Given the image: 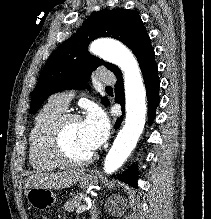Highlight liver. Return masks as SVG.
Instances as JSON below:
<instances>
[{"label":"liver","instance_id":"obj_1","mask_svg":"<svg viewBox=\"0 0 211 219\" xmlns=\"http://www.w3.org/2000/svg\"><path fill=\"white\" fill-rule=\"evenodd\" d=\"M83 174V169L57 173L34 174L26 179V188H68L78 182Z\"/></svg>","mask_w":211,"mask_h":219}]
</instances>
